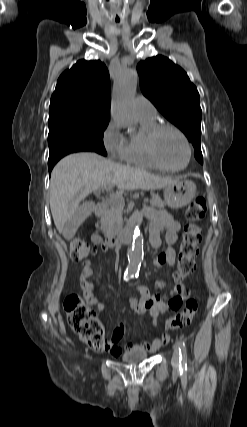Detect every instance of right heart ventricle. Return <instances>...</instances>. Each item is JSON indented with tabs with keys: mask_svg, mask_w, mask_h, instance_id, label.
<instances>
[{
	"mask_svg": "<svg viewBox=\"0 0 247 427\" xmlns=\"http://www.w3.org/2000/svg\"><path fill=\"white\" fill-rule=\"evenodd\" d=\"M141 130L138 135L131 136L127 140L125 160L129 164L156 169L157 167L153 164L149 158L146 147L145 137L148 131L153 128L157 123L156 119L139 118Z\"/></svg>",
	"mask_w": 247,
	"mask_h": 427,
	"instance_id": "e07e8e85",
	"label": "right heart ventricle"
}]
</instances>
